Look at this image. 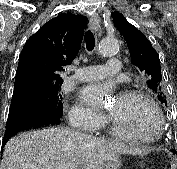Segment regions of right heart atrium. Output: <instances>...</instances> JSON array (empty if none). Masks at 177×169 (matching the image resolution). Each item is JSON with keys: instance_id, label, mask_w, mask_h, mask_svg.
Instances as JSON below:
<instances>
[{"instance_id": "d8ad5b80", "label": "right heart atrium", "mask_w": 177, "mask_h": 169, "mask_svg": "<svg viewBox=\"0 0 177 169\" xmlns=\"http://www.w3.org/2000/svg\"><path fill=\"white\" fill-rule=\"evenodd\" d=\"M70 123L78 128L85 130H95L105 124L106 118L99 115L89 108L75 104L69 113Z\"/></svg>"}]
</instances>
